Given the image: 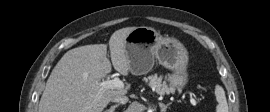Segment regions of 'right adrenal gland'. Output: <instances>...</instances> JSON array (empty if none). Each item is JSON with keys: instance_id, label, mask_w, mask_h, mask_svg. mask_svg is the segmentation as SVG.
I'll use <instances>...</instances> for the list:
<instances>
[{"instance_id": "obj_1", "label": "right adrenal gland", "mask_w": 270, "mask_h": 112, "mask_svg": "<svg viewBox=\"0 0 270 112\" xmlns=\"http://www.w3.org/2000/svg\"><path fill=\"white\" fill-rule=\"evenodd\" d=\"M119 105H120V104H116V105H114V106H111L108 110H106V111H104V112H114L115 109H116L117 107H119Z\"/></svg>"}]
</instances>
